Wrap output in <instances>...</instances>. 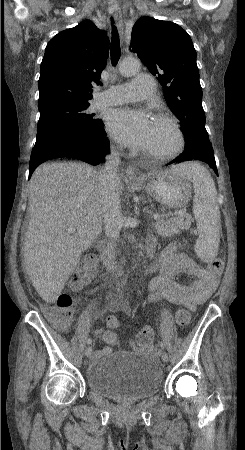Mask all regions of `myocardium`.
Instances as JSON below:
<instances>
[{"mask_svg": "<svg viewBox=\"0 0 245 450\" xmlns=\"http://www.w3.org/2000/svg\"><path fill=\"white\" fill-rule=\"evenodd\" d=\"M154 121L167 125L168 128L174 133L175 142L171 148L166 150H145V155L151 158L165 160L180 154L185 148L186 140L178 121L168 113L157 114Z\"/></svg>", "mask_w": 245, "mask_h": 450, "instance_id": "obj_1", "label": "myocardium"}]
</instances>
